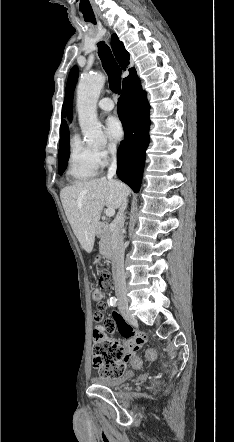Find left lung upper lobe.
Here are the masks:
<instances>
[{"instance_id": "1", "label": "left lung upper lobe", "mask_w": 234, "mask_h": 442, "mask_svg": "<svg viewBox=\"0 0 234 442\" xmlns=\"http://www.w3.org/2000/svg\"><path fill=\"white\" fill-rule=\"evenodd\" d=\"M78 74H79L78 68L74 66L69 73L67 81L65 106L67 111V117L70 121L72 120L73 94L78 79Z\"/></svg>"}]
</instances>
